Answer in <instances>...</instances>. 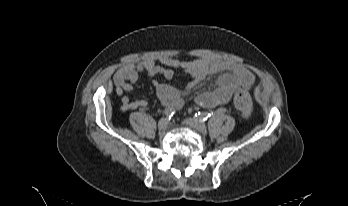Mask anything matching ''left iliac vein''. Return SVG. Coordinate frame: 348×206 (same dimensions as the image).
Wrapping results in <instances>:
<instances>
[{
    "instance_id": "4c4485c4",
    "label": "left iliac vein",
    "mask_w": 348,
    "mask_h": 206,
    "mask_svg": "<svg viewBox=\"0 0 348 206\" xmlns=\"http://www.w3.org/2000/svg\"><path fill=\"white\" fill-rule=\"evenodd\" d=\"M185 124L199 132H206L207 130L206 124L203 121L198 120L196 118H187L185 120Z\"/></svg>"
}]
</instances>
